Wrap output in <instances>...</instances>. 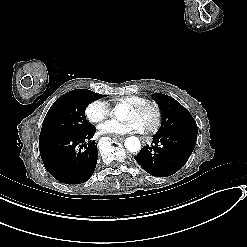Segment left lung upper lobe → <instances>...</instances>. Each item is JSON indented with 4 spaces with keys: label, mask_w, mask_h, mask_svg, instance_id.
<instances>
[{
    "label": "left lung upper lobe",
    "mask_w": 247,
    "mask_h": 247,
    "mask_svg": "<svg viewBox=\"0 0 247 247\" xmlns=\"http://www.w3.org/2000/svg\"><path fill=\"white\" fill-rule=\"evenodd\" d=\"M152 98L158 103L162 113V123L157 133L197 135L198 128L194 118L179 102L160 93H154Z\"/></svg>",
    "instance_id": "obj_1"
}]
</instances>
